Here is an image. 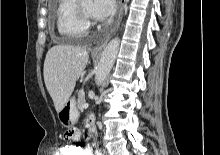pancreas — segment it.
<instances>
[{"label": "pancreas", "instance_id": "1", "mask_svg": "<svg viewBox=\"0 0 220 155\" xmlns=\"http://www.w3.org/2000/svg\"><path fill=\"white\" fill-rule=\"evenodd\" d=\"M85 93L83 91L78 92V99H77V108L79 110H83V105L85 104Z\"/></svg>", "mask_w": 220, "mask_h": 155}]
</instances>
